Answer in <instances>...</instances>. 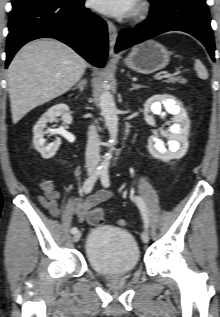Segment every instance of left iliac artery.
I'll list each match as a JSON object with an SVG mask.
<instances>
[{"mask_svg": "<svg viewBox=\"0 0 220 317\" xmlns=\"http://www.w3.org/2000/svg\"><path fill=\"white\" fill-rule=\"evenodd\" d=\"M101 183L104 187L110 186L109 172L107 170H103L101 172ZM132 199L139 207L141 214H142V217H143L144 227L147 229L149 226V220H148V213H147L145 202L139 196H134Z\"/></svg>", "mask_w": 220, "mask_h": 317, "instance_id": "left-iliac-artery-1", "label": "left iliac artery"}]
</instances>
